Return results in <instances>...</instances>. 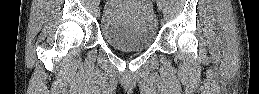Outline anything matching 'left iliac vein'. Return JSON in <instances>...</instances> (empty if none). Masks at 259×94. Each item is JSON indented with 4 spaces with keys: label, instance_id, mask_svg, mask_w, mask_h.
I'll return each mask as SVG.
<instances>
[{
    "label": "left iliac vein",
    "instance_id": "left-iliac-vein-1",
    "mask_svg": "<svg viewBox=\"0 0 259 94\" xmlns=\"http://www.w3.org/2000/svg\"><path fill=\"white\" fill-rule=\"evenodd\" d=\"M157 4H158L159 9H161L162 8V3H161L160 0L157 1Z\"/></svg>",
    "mask_w": 259,
    "mask_h": 94
}]
</instances>
